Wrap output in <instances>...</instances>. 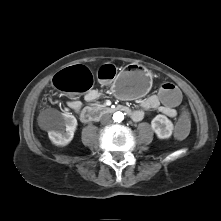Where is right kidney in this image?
Returning a JSON list of instances; mask_svg holds the SVG:
<instances>
[{
  "label": "right kidney",
  "mask_w": 221,
  "mask_h": 221,
  "mask_svg": "<svg viewBox=\"0 0 221 221\" xmlns=\"http://www.w3.org/2000/svg\"><path fill=\"white\" fill-rule=\"evenodd\" d=\"M76 127L77 120L73 115L61 113L48 131V136L54 145L66 146L73 139Z\"/></svg>",
  "instance_id": "obj_1"
}]
</instances>
